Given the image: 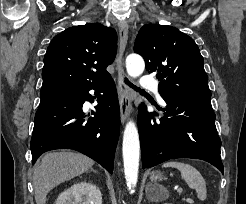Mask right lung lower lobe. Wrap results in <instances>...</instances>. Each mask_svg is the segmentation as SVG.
Returning <instances> with one entry per match:
<instances>
[{
    "instance_id": "1",
    "label": "right lung lower lobe",
    "mask_w": 246,
    "mask_h": 204,
    "mask_svg": "<svg viewBox=\"0 0 246 204\" xmlns=\"http://www.w3.org/2000/svg\"><path fill=\"white\" fill-rule=\"evenodd\" d=\"M90 90H95L98 105L95 112L87 114L82 106L85 101H94ZM40 97L31 139L32 164L46 151L74 149L112 173L120 130V109L113 79L57 88L41 93Z\"/></svg>"
}]
</instances>
